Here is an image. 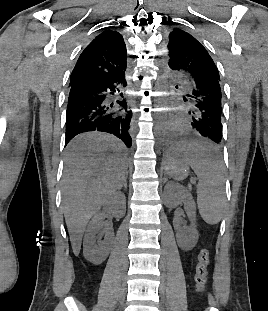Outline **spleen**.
Listing matches in <instances>:
<instances>
[{
	"instance_id": "spleen-1",
	"label": "spleen",
	"mask_w": 268,
	"mask_h": 311,
	"mask_svg": "<svg viewBox=\"0 0 268 311\" xmlns=\"http://www.w3.org/2000/svg\"><path fill=\"white\" fill-rule=\"evenodd\" d=\"M189 148V165L198 177L197 205L203 220L217 224L225 205L223 162L217 144L207 140H185Z\"/></svg>"
}]
</instances>
